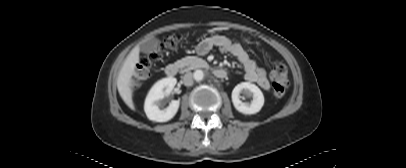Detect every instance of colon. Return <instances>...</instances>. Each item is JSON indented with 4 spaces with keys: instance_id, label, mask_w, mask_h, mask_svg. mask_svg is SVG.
Returning <instances> with one entry per match:
<instances>
[{
    "instance_id": "obj_1",
    "label": "colon",
    "mask_w": 406,
    "mask_h": 168,
    "mask_svg": "<svg viewBox=\"0 0 406 168\" xmlns=\"http://www.w3.org/2000/svg\"><path fill=\"white\" fill-rule=\"evenodd\" d=\"M181 38L179 36H169L160 45L157 52L151 53L141 58L136 66L134 78L135 80L144 79L149 75V72L165 49H175L180 44ZM273 93L276 97H282L288 87V72L283 64H276L271 71Z\"/></svg>"
}]
</instances>
